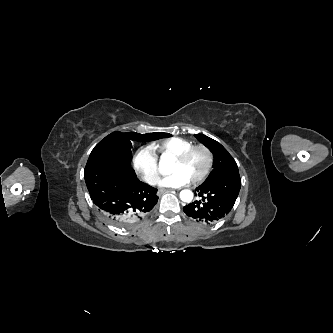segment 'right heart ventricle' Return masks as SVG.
Segmentation results:
<instances>
[{
    "mask_svg": "<svg viewBox=\"0 0 333 333\" xmlns=\"http://www.w3.org/2000/svg\"><path fill=\"white\" fill-rule=\"evenodd\" d=\"M191 146H193V143L189 140L181 137H170L153 143L151 148L164 158L174 159L178 154Z\"/></svg>",
    "mask_w": 333,
    "mask_h": 333,
    "instance_id": "e07e8e85",
    "label": "right heart ventricle"
}]
</instances>
